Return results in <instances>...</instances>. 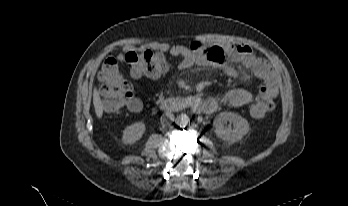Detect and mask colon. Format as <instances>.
<instances>
[{"instance_id": "5ec220e1", "label": "colon", "mask_w": 348, "mask_h": 206, "mask_svg": "<svg viewBox=\"0 0 348 206\" xmlns=\"http://www.w3.org/2000/svg\"><path fill=\"white\" fill-rule=\"evenodd\" d=\"M125 62L130 66L134 76L146 75L157 77L167 69L164 55L160 51L144 49L140 51H128L124 55ZM101 94L103 107L109 112L122 110H137L139 101L134 97L130 83L126 75L121 71L118 61L109 58L104 63L100 73ZM274 108L273 93L269 88H262L255 104L250 108V114L255 119L266 116Z\"/></svg>"}]
</instances>
